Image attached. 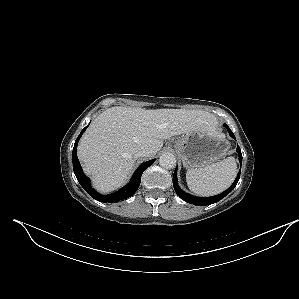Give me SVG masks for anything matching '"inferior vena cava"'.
<instances>
[{
    "label": "inferior vena cava",
    "instance_id": "602c4592",
    "mask_svg": "<svg viewBox=\"0 0 299 299\" xmlns=\"http://www.w3.org/2000/svg\"><path fill=\"white\" fill-rule=\"evenodd\" d=\"M150 153H151V151H150L149 149H147V148H143V149L139 150V151L135 154V156H136V157H148V156H150Z\"/></svg>",
    "mask_w": 299,
    "mask_h": 299
}]
</instances>
